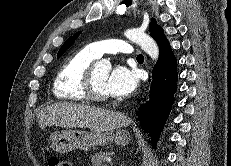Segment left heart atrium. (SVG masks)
Returning <instances> with one entry per match:
<instances>
[{
    "label": "left heart atrium",
    "instance_id": "left-heart-atrium-1",
    "mask_svg": "<svg viewBox=\"0 0 231 166\" xmlns=\"http://www.w3.org/2000/svg\"><path fill=\"white\" fill-rule=\"evenodd\" d=\"M138 85L135 70L118 65L108 74L105 86L109 95L114 97L129 96Z\"/></svg>",
    "mask_w": 231,
    "mask_h": 166
}]
</instances>
